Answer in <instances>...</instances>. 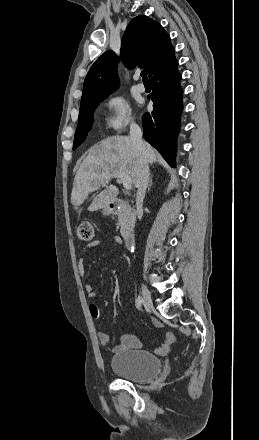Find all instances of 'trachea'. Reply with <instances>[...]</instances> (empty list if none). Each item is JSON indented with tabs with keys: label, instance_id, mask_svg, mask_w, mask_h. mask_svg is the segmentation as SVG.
I'll use <instances>...</instances> for the list:
<instances>
[{
	"label": "trachea",
	"instance_id": "3493384b",
	"mask_svg": "<svg viewBox=\"0 0 259 440\" xmlns=\"http://www.w3.org/2000/svg\"><path fill=\"white\" fill-rule=\"evenodd\" d=\"M141 76H142V78H143V81H148V78H147V71H146V70H142V72H141Z\"/></svg>",
	"mask_w": 259,
	"mask_h": 440
}]
</instances>
